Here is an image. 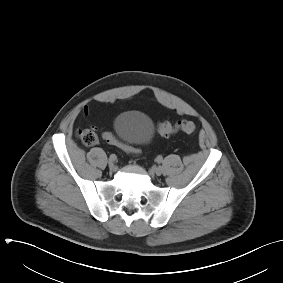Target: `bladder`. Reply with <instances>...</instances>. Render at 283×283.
<instances>
[{"instance_id":"1","label":"bladder","mask_w":283,"mask_h":283,"mask_svg":"<svg viewBox=\"0 0 283 283\" xmlns=\"http://www.w3.org/2000/svg\"><path fill=\"white\" fill-rule=\"evenodd\" d=\"M117 137L129 146H142L154 136L151 119L143 112L125 111L116 116L113 123Z\"/></svg>"}]
</instances>
